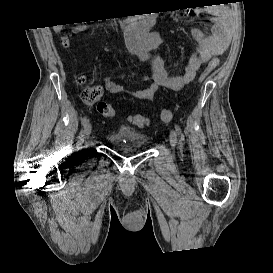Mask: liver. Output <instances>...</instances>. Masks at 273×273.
<instances>
[{"label": "liver", "mask_w": 273, "mask_h": 273, "mask_svg": "<svg viewBox=\"0 0 273 273\" xmlns=\"http://www.w3.org/2000/svg\"><path fill=\"white\" fill-rule=\"evenodd\" d=\"M61 27H62L61 25L55 26L54 31L56 32L60 31L62 29Z\"/></svg>", "instance_id": "obj_1"}]
</instances>
